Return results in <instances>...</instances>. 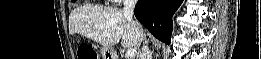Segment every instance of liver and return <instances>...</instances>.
<instances>
[{"label":"liver","instance_id":"liver-1","mask_svg":"<svg viewBox=\"0 0 261 59\" xmlns=\"http://www.w3.org/2000/svg\"><path fill=\"white\" fill-rule=\"evenodd\" d=\"M69 32L81 34L106 48L121 40L123 47L138 49L146 37L140 25L127 20L122 10L111 7L73 10L69 17Z\"/></svg>","mask_w":261,"mask_h":59}]
</instances>
